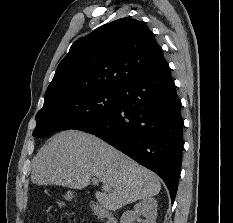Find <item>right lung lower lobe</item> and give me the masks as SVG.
I'll return each mask as SVG.
<instances>
[{"instance_id": "1", "label": "right lung lower lobe", "mask_w": 233, "mask_h": 223, "mask_svg": "<svg viewBox=\"0 0 233 223\" xmlns=\"http://www.w3.org/2000/svg\"><path fill=\"white\" fill-rule=\"evenodd\" d=\"M119 90L116 110L77 130L98 136L158 174L173 202L181 169L183 120L168 64Z\"/></svg>"}]
</instances>
